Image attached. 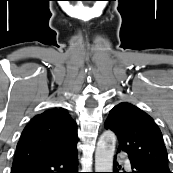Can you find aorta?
I'll return each instance as SVG.
<instances>
[{"label":"aorta","instance_id":"762f6f07","mask_svg":"<svg viewBox=\"0 0 173 173\" xmlns=\"http://www.w3.org/2000/svg\"><path fill=\"white\" fill-rule=\"evenodd\" d=\"M116 136L105 131L99 138L95 152V172H112Z\"/></svg>","mask_w":173,"mask_h":173}]
</instances>
